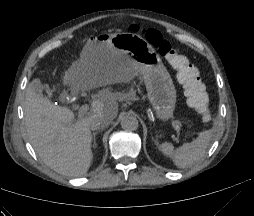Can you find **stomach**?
I'll return each instance as SVG.
<instances>
[{
  "label": "stomach",
  "mask_w": 254,
  "mask_h": 216,
  "mask_svg": "<svg viewBox=\"0 0 254 216\" xmlns=\"http://www.w3.org/2000/svg\"><path fill=\"white\" fill-rule=\"evenodd\" d=\"M143 76L149 102L162 122L174 118L177 92L172 78L155 49L141 36L131 33L100 35L91 39L76 66L106 65L116 54Z\"/></svg>",
  "instance_id": "obj_1"
}]
</instances>
